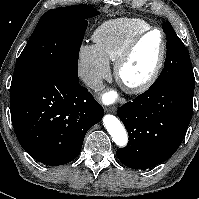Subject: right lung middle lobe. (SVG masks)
Instances as JSON below:
<instances>
[{"instance_id":"1","label":"right lung middle lobe","mask_w":199,"mask_h":199,"mask_svg":"<svg viewBox=\"0 0 199 199\" xmlns=\"http://www.w3.org/2000/svg\"><path fill=\"white\" fill-rule=\"evenodd\" d=\"M98 14L89 5H73L42 15L17 60L10 93L50 72L78 80V56L87 19Z\"/></svg>"}]
</instances>
